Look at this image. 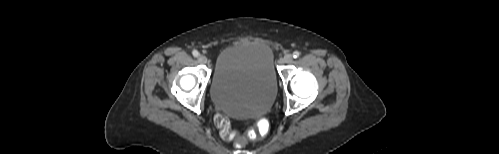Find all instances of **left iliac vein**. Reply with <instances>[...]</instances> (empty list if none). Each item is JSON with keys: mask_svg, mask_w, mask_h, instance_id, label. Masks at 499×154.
Instances as JSON below:
<instances>
[{"mask_svg": "<svg viewBox=\"0 0 499 154\" xmlns=\"http://www.w3.org/2000/svg\"><path fill=\"white\" fill-rule=\"evenodd\" d=\"M293 60V56L291 54H286L283 58L284 63H291Z\"/></svg>", "mask_w": 499, "mask_h": 154, "instance_id": "obj_1", "label": "left iliac vein"}]
</instances>
